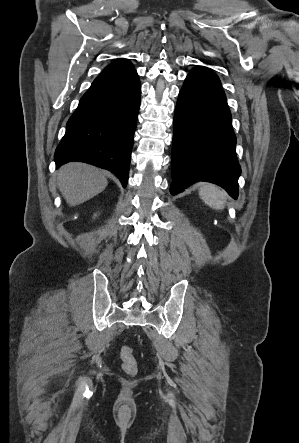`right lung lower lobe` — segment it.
<instances>
[{"label":"right lung lower lobe","instance_id":"obj_1","mask_svg":"<svg viewBox=\"0 0 299 443\" xmlns=\"http://www.w3.org/2000/svg\"><path fill=\"white\" fill-rule=\"evenodd\" d=\"M140 98L134 67L99 74L67 122L54 155L56 167L69 161L95 164L126 187Z\"/></svg>","mask_w":299,"mask_h":443}]
</instances>
